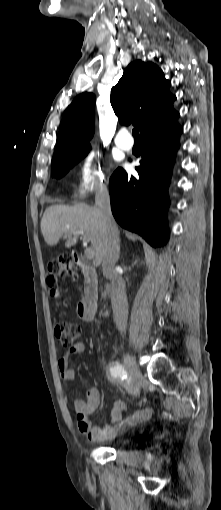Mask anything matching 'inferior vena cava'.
<instances>
[{
    "instance_id": "1",
    "label": "inferior vena cava",
    "mask_w": 221,
    "mask_h": 510,
    "mask_svg": "<svg viewBox=\"0 0 221 510\" xmlns=\"http://www.w3.org/2000/svg\"><path fill=\"white\" fill-rule=\"evenodd\" d=\"M95 205L102 212L103 223L107 231L108 240L102 261L103 275L112 284V307L114 321L120 333H125L128 320V303L124 282L118 278L115 264L120 253L119 230L113 218L110 206V195L108 189L100 188L96 192Z\"/></svg>"
}]
</instances>
